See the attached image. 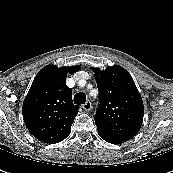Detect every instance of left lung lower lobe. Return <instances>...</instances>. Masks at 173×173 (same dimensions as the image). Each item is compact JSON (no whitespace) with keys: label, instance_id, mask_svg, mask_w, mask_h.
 <instances>
[{"label":"left lung lower lobe","instance_id":"1","mask_svg":"<svg viewBox=\"0 0 173 173\" xmlns=\"http://www.w3.org/2000/svg\"><path fill=\"white\" fill-rule=\"evenodd\" d=\"M100 136H101L102 139H104L105 141H107V142H109L111 144H120L119 142H116L114 140L108 139L105 136H102V135H100Z\"/></svg>","mask_w":173,"mask_h":173}]
</instances>
